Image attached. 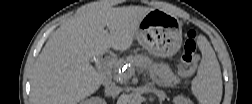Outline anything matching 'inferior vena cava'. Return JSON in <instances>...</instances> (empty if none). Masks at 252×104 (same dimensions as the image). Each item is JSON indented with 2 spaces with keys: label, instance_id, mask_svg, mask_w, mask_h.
<instances>
[{
  "label": "inferior vena cava",
  "instance_id": "inferior-vena-cava-1",
  "mask_svg": "<svg viewBox=\"0 0 252 104\" xmlns=\"http://www.w3.org/2000/svg\"><path fill=\"white\" fill-rule=\"evenodd\" d=\"M121 90V87L116 86L114 83H109L105 87V94L109 96H117Z\"/></svg>",
  "mask_w": 252,
  "mask_h": 104
}]
</instances>
